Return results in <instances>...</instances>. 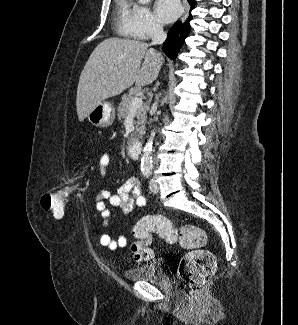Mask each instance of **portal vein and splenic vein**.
<instances>
[{
	"instance_id": "18ae733b",
	"label": "portal vein and splenic vein",
	"mask_w": 298,
	"mask_h": 325,
	"mask_svg": "<svg viewBox=\"0 0 298 325\" xmlns=\"http://www.w3.org/2000/svg\"><path fill=\"white\" fill-rule=\"evenodd\" d=\"M142 104L143 98H141V96H134V98L131 100V104H129V112H136L137 108H139V106H142Z\"/></svg>"
}]
</instances>
